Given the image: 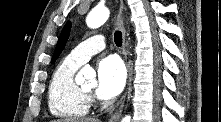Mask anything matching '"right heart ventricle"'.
I'll list each match as a JSON object with an SVG mask.
<instances>
[{
  "label": "right heart ventricle",
  "mask_w": 221,
  "mask_h": 122,
  "mask_svg": "<svg viewBox=\"0 0 221 122\" xmlns=\"http://www.w3.org/2000/svg\"><path fill=\"white\" fill-rule=\"evenodd\" d=\"M80 66L68 56L54 70L48 86V107L52 115L78 118L88 113L90 103L75 82Z\"/></svg>",
  "instance_id": "obj_1"
}]
</instances>
